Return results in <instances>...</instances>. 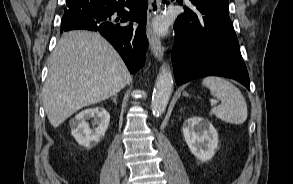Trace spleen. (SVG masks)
<instances>
[{"label":"spleen","mask_w":293,"mask_h":184,"mask_svg":"<svg viewBox=\"0 0 293 184\" xmlns=\"http://www.w3.org/2000/svg\"><path fill=\"white\" fill-rule=\"evenodd\" d=\"M202 85L209 88L212 96L221 101L211 109V114L227 123L240 125L247 119V103L241 91L228 80L209 76L202 80Z\"/></svg>","instance_id":"obj_1"}]
</instances>
